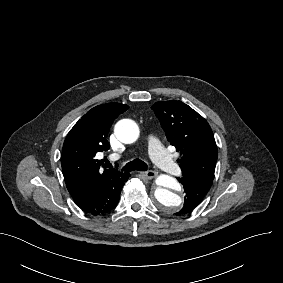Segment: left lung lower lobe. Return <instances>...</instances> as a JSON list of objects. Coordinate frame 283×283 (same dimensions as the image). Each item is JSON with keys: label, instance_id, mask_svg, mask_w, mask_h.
<instances>
[{"label": "left lung lower lobe", "instance_id": "0a47b994", "mask_svg": "<svg viewBox=\"0 0 283 283\" xmlns=\"http://www.w3.org/2000/svg\"><path fill=\"white\" fill-rule=\"evenodd\" d=\"M177 180L182 183L186 196L184 198L185 202L183 208L176 214L185 215L190 213L201 203L212 183L197 177L183 176L181 178H177Z\"/></svg>", "mask_w": 283, "mask_h": 283}]
</instances>
